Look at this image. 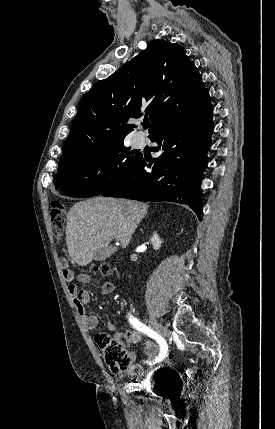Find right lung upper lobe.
I'll return each instance as SVG.
<instances>
[{"label": "right lung upper lobe", "instance_id": "obj_1", "mask_svg": "<svg viewBox=\"0 0 275 429\" xmlns=\"http://www.w3.org/2000/svg\"><path fill=\"white\" fill-rule=\"evenodd\" d=\"M212 108L202 77L186 51L153 40L146 50L87 92L62 146L59 167L88 152L122 141L135 128L130 118L158 130L196 119Z\"/></svg>", "mask_w": 275, "mask_h": 429}]
</instances>
